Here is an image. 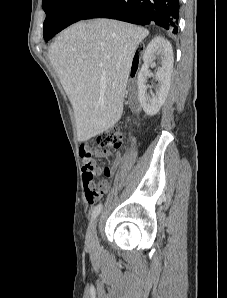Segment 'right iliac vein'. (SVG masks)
Returning <instances> with one entry per match:
<instances>
[{"label": "right iliac vein", "mask_w": 227, "mask_h": 298, "mask_svg": "<svg viewBox=\"0 0 227 298\" xmlns=\"http://www.w3.org/2000/svg\"><path fill=\"white\" fill-rule=\"evenodd\" d=\"M86 239L88 245L92 249H95L97 247L96 221L90 223L87 230Z\"/></svg>", "instance_id": "obj_1"}]
</instances>
